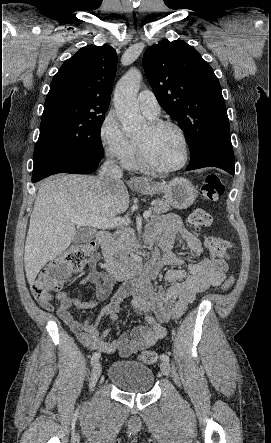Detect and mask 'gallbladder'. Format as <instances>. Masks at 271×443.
<instances>
[{
  "mask_svg": "<svg viewBox=\"0 0 271 443\" xmlns=\"http://www.w3.org/2000/svg\"><path fill=\"white\" fill-rule=\"evenodd\" d=\"M94 237V233H88V231H77L73 243L75 245H79V243H84V241H87V239H92Z\"/></svg>",
  "mask_w": 271,
  "mask_h": 443,
  "instance_id": "gallbladder-1",
  "label": "gallbladder"
}]
</instances>
